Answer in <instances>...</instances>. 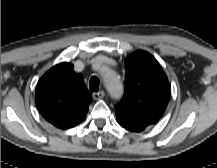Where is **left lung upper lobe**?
Segmentation results:
<instances>
[{
	"instance_id": "5c2ea615",
	"label": "left lung upper lobe",
	"mask_w": 217,
	"mask_h": 168,
	"mask_svg": "<svg viewBox=\"0 0 217 168\" xmlns=\"http://www.w3.org/2000/svg\"><path fill=\"white\" fill-rule=\"evenodd\" d=\"M124 97L116 105L122 126L140 132L156 124L170 100V86L158 61L146 51H136L125 60Z\"/></svg>"
}]
</instances>
